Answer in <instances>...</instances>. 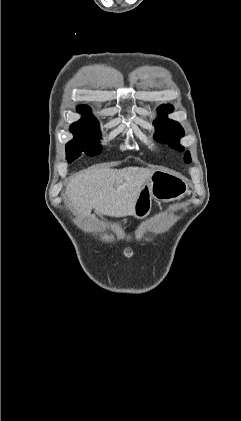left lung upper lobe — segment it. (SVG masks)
I'll use <instances>...</instances> for the list:
<instances>
[{
    "mask_svg": "<svg viewBox=\"0 0 241 421\" xmlns=\"http://www.w3.org/2000/svg\"><path fill=\"white\" fill-rule=\"evenodd\" d=\"M173 111L171 105H165L159 107V114L163 115L162 118L154 121L156 133L154 138L162 143L169 144L172 148L183 150L184 148L179 145V139L184 136V130L181 125L166 118L165 114ZM186 163L190 162V153L187 151L184 156Z\"/></svg>",
    "mask_w": 241,
    "mask_h": 421,
    "instance_id": "5c2ea615",
    "label": "left lung upper lobe"
}]
</instances>
